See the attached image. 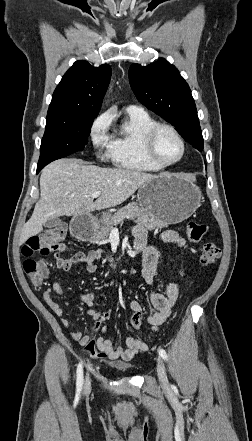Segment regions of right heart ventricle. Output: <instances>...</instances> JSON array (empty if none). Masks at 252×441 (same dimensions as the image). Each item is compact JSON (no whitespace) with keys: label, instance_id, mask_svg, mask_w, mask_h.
Here are the masks:
<instances>
[{"label":"right heart ventricle","instance_id":"1","mask_svg":"<svg viewBox=\"0 0 252 441\" xmlns=\"http://www.w3.org/2000/svg\"><path fill=\"white\" fill-rule=\"evenodd\" d=\"M156 123L145 111H127L122 125L112 136L111 158L117 166L139 172L161 169L148 159L144 150V136Z\"/></svg>","mask_w":252,"mask_h":441}]
</instances>
